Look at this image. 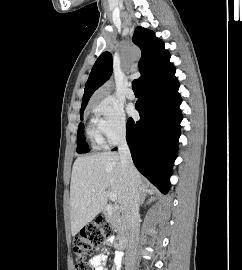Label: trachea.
<instances>
[{
	"instance_id": "obj_1",
	"label": "trachea",
	"mask_w": 242,
	"mask_h": 270,
	"mask_svg": "<svg viewBox=\"0 0 242 270\" xmlns=\"http://www.w3.org/2000/svg\"><path fill=\"white\" fill-rule=\"evenodd\" d=\"M132 89L135 91V92H140V83L138 80H134L132 82Z\"/></svg>"
}]
</instances>
